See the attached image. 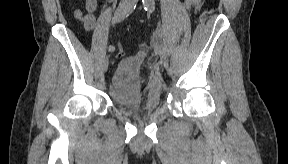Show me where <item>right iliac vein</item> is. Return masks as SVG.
Here are the masks:
<instances>
[{
    "mask_svg": "<svg viewBox=\"0 0 288 164\" xmlns=\"http://www.w3.org/2000/svg\"><path fill=\"white\" fill-rule=\"evenodd\" d=\"M108 65H109V58L106 57L105 60H104V69H105V70H107Z\"/></svg>",
    "mask_w": 288,
    "mask_h": 164,
    "instance_id": "63e3f726",
    "label": "right iliac vein"
}]
</instances>
